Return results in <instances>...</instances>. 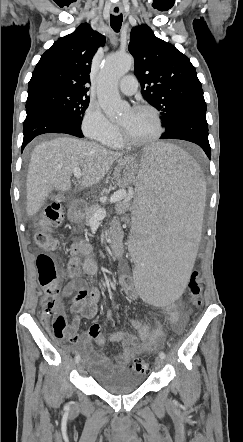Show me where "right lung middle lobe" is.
<instances>
[{"instance_id": "obj_1", "label": "right lung middle lobe", "mask_w": 243, "mask_h": 442, "mask_svg": "<svg viewBox=\"0 0 243 442\" xmlns=\"http://www.w3.org/2000/svg\"><path fill=\"white\" fill-rule=\"evenodd\" d=\"M47 104L63 112L77 126L81 127L83 114L89 105V98L63 91H48L28 97L26 106Z\"/></svg>"}]
</instances>
